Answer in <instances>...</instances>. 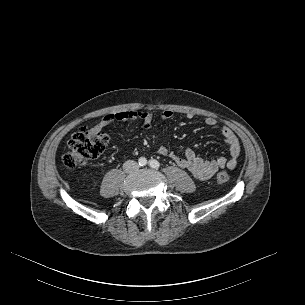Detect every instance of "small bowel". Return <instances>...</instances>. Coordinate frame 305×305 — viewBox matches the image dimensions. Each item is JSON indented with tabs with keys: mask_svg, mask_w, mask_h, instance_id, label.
I'll return each mask as SVG.
<instances>
[{
	"mask_svg": "<svg viewBox=\"0 0 305 305\" xmlns=\"http://www.w3.org/2000/svg\"><path fill=\"white\" fill-rule=\"evenodd\" d=\"M174 116L172 110L166 109L160 113L162 119H170ZM186 119H193L194 114L188 112L184 115ZM138 119L141 121L144 129H149L153 123V116L146 111H118L104 116L92 129L94 131H102L107 126L127 120ZM204 123L208 127H215L217 120L213 117H206ZM221 136L224 142L228 145L229 156L217 157L211 160H203L196 156L193 150L187 148L180 156L173 151H170L164 146L157 149L158 154L162 156H169L179 167L186 169L194 178L198 180H208L212 178L217 171L223 168L233 169L237 165L238 157L241 153L240 142L235 133L227 126L221 128Z\"/></svg>",
	"mask_w": 305,
	"mask_h": 305,
	"instance_id": "c3829d8e",
	"label": "small bowel"
}]
</instances>
